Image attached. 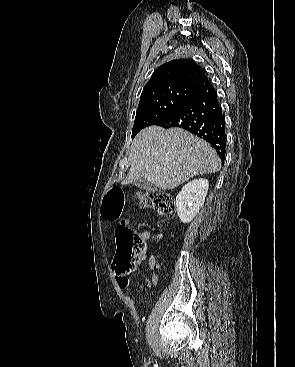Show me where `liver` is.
I'll return each instance as SVG.
<instances>
[{
	"instance_id": "1",
	"label": "liver",
	"mask_w": 295,
	"mask_h": 367,
	"mask_svg": "<svg viewBox=\"0 0 295 367\" xmlns=\"http://www.w3.org/2000/svg\"><path fill=\"white\" fill-rule=\"evenodd\" d=\"M221 161L204 140L181 128L150 126L134 138L130 169L124 184L145 179L162 190H172L190 178L215 173Z\"/></svg>"
}]
</instances>
